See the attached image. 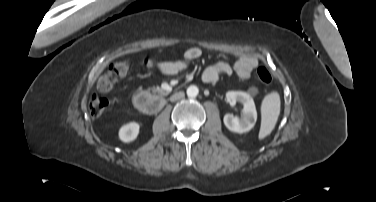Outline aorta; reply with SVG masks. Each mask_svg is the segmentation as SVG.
Wrapping results in <instances>:
<instances>
[{
    "instance_id": "1",
    "label": "aorta",
    "mask_w": 376,
    "mask_h": 202,
    "mask_svg": "<svg viewBox=\"0 0 376 202\" xmlns=\"http://www.w3.org/2000/svg\"><path fill=\"white\" fill-rule=\"evenodd\" d=\"M199 93L198 87L191 85L187 88V96L188 97H196Z\"/></svg>"
}]
</instances>
